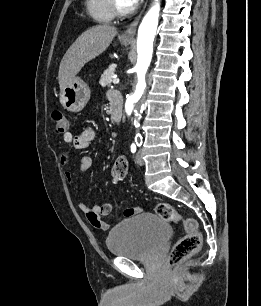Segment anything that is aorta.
I'll use <instances>...</instances> for the list:
<instances>
[{
	"instance_id": "762f6f07",
	"label": "aorta",
	"mask_w": 261,
	"mask_h": 306,
	"mask_svg": "<svg viewBox=\"0 0 261 306\" xmlns=\"http://www.w3.org/2000/svg\"><path fill=\"white\" fill-rule=\"evenodd\" d=\"M159 12L160 4L158 0H155V4L146 13L138 29L136 64L138 82L134 93L126 100L125 111L128 116L137 112L146 87L145 75L152 59L153 41L158 26Z\"/></svg>"
}]
</instances>
